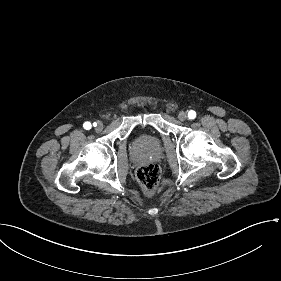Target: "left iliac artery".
<instances>
[{"label": "left iliac artery", "mask_w": 281, "mask_h": 281, "mask_svg": "<svg viewBox=\"0 0 281 281\" xmlns=\"http://www.w3.org/2000/svg\"><path fill=\"white\" fill-rule=\"evenodd\" d=\"M188 117H189L190 119H194V118L196 117V112L193 111V110L189 111Z\"/></svg>", "instance_id": "left-iliac-artery-1"}]
</instances>
